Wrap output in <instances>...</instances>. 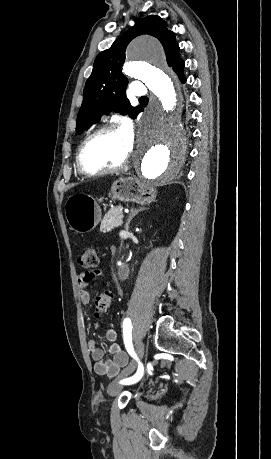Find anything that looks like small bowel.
Returning <instances> with one entry per match:
<instances>
[{
    "mask_svg": "<svg viewBox=\"0 0 271 459\" xmlns=\"http://www.w3.org/2000/svg\"><path fill=\"white\" fill-rule=\"evenodd\" d=\"M103 275V269L95 268L85 271L78 276L79 299L83 305H88L90 303V294L87 291L88 283L91 280L101 278ZM94 327L96 329L99 328V324L95 323ZM105 337L110 342V359L105 358L103 350L99 348L97 343L93 340L88 342V350L94 361L95 372L99 375L113 378L117 376L121 368L128 363V356L116 342L117 333L114 329H107Z\"/></svg>",
    "mask_w": 271,
    "mask_h": 459,
    "instance_id": "c3829d8e",
    "label": "small bowel"
}]
</instances>
